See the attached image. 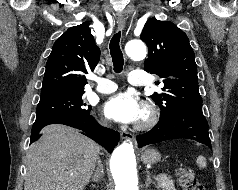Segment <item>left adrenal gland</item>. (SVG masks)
Wrapping results in <instances>:
<instances>
[{"mask_svg": "<svg viewBox=\"0 0 238 190\" xmlns=\"http://www.w3.org/2000/svg\"><path fill=\"white\" fill-rule=\"evenodd\" d=\"M146 174H147V181L145 183V186L146 188L150 185V184H154L153 180L151 179V175H150V172L147 170L146 171Z\"/></svg>", "mask_w": 238, "mask_h": 190, "instance_id": "left-adrenal-gland-1", "label": "left adrenal gland"}]
</instances>
